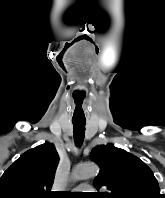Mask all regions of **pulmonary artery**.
Instances as JSON below:
<instances>
[{"mask_svg":"<svg viewBox=\"0 0 165 198\" xmlns=\"http://www.w3.org/2000/svg\"><path fill=\"white\" fill-rule=\"evenodd\" d=\"M90 189V187L89 186H87V185H80V186H78L77 188H76V190L77 191H87V190H89Z\"/></svg>","mask_w":165,"mask_h":198,"instance_id":"pulmonary-artery-1","label":"pulmonary artery"}]
</instances>
